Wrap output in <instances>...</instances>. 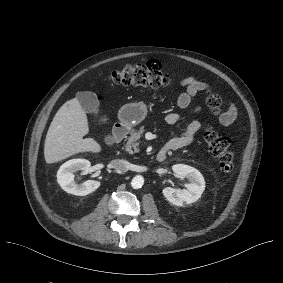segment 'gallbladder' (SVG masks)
<instances>
[{
  "mask_svg": "<svg viewBox=\"0 0 283 283\" xmlns=\"http://www.w3.org/2000/svg\"><path fill=\"white\" fill-rule=\"evenodd\" d=\"M77 97L83 110L90 113L97 120L101 114L100 101L97 95L89 91H82L77 93ZM102 140L107 146L115 144V139L111 133H102Z\"/></svg>",
  "mask_w": 283,
  "mask_h": 283,
  "instance_id": "obj_1",
  "label": "gallbladder"
}]
</instances>
